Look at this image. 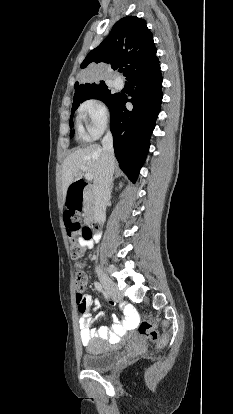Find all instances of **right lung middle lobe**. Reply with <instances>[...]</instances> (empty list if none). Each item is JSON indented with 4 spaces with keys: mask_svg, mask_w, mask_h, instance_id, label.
<instances>
[{
    "mask_svg": "<svg viewBox=\"0 0 233 414\" xmlns=\"http://www.w3.org/2000/svg\"><path fill=\"white\" fill-rule=\"evenodd\" d=\"M118 96L119 94H111L106 84L97 86L83 93L79 98L73 100L71 117H70V128L73 127V115L80 103H82L83 101L87 99H99L103 101L109 108L115 102ZM72 136H73V132L70 133V137Z\"/></svg>",
    "mask_w": 233,
    "mask_h": 414,
    "instance_id": "1",
    "label": "right lung middle lobe"
}]
</instances>
